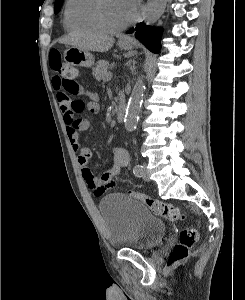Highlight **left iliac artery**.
<instances>
[{
	"mask_svg": "<svg viewBox=\"0 0 245 300\" xmlns=\"http://www.w3.org/2000/svg\"><path fill=\"white\" fill-rule=\"evenodd\" d=\"M133 173L136 177H141L142 176V165H136L134 168H133Z\"/></svg>",
	"mask_w": 245,
	"mask_h": 300,
	"instance_id": "left-iliac-artery-1",
	"label": "left iliac artery"
}]
</instances>
